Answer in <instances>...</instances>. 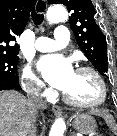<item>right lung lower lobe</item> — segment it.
I'll list each match as a JSON object with an SVG mask.
<instances>
[{
	"mask_svg": "<svg viewBox=\"0 0 117 136\" xmlns=\"http://www.w3.org/2000/svg\"><path fill=\"white\" fill-rule=\"evenodd\" d=\"M21 89L18 78L4 77L0 78V90Z\"/></svg>",
	"mask_w": 117,
	"mask_h": 136,
	"instance_id": "98d812e1",
	"label": "right lung lower lobe"
}]
</instances>
